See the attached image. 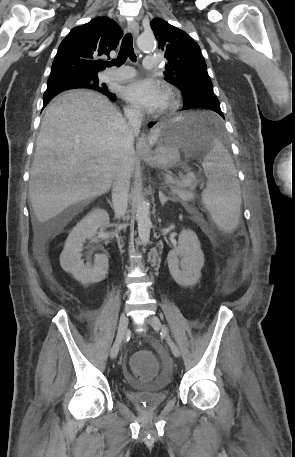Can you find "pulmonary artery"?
<instances>
[{"label":"pulmonary artery","mask_w":295,"mask_h":457,"mask_svg":"<svg viewBox=\"0 0 295 457\" xmlns=\"http://www.w3.org/2000/svg\"><path fill=\"white\" fill-rule=\"evenodd\" d=\"M157 58L155 56H146L143 60V66L145 69L151 70L157 66ZM135 75L133 68L124 66L114 71H107L101 75L103 81H125L132 78Z\"/></svg>","instance_id":"pulmonary-artery-1"}]
</instances>
